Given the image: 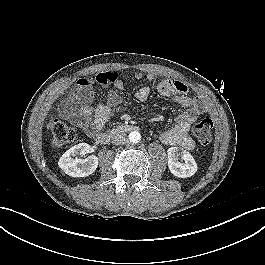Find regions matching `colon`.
<instances>
[{
	"mask_svg": "<svg viewBox=\"0 0 265 265\" xmlns=\"http://www.w3.org/2000/svg\"><path fill=\"white\" fill-rule=\"evenodd\" d=\"M108 75H100L98 79L101 80L103 77ZM213 128V122L208 117H201L192 127V133L202 145H207L211 141V132ZM53 144L57 147H63L67 144H71L77 140L76 130L67 125L61 118H57L54 121L52 128Z\"/></svg>",
	"mask_w": 265,
	"mask_h": 265,
	"instance_id": "obj_1",
	"label": "colon"
}]
</instances>
